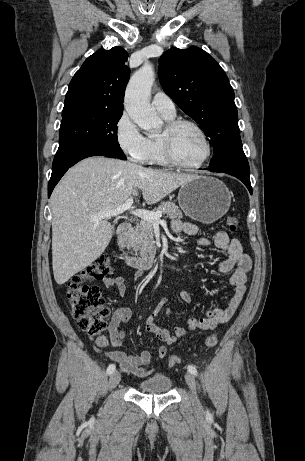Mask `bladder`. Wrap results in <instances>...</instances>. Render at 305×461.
Here are the masks:
<instances>
[{
  "mask_svg": "<svg viewBox=\"0 0 305 461\" xmlns=\"http://www.w3.org/2000/svg\"><path fill=\"white\" fill-rule=\"evenodd\" d=\"M172 380L165 374H155L138 383V390L145 394H164L170 391Z\"/></svg>",
  "mask_w": 305,
  "mask_h": 461,
  "instance_id": "bladder-1",
  "label": "bladder"
}]
</instances>
